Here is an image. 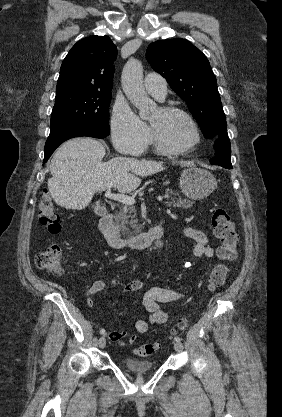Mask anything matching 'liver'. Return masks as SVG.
I'll use <instances>...</instances> for the list:
<instances>
[{
	"instance_id": "obj_1",
	"label": "liver",
	"mask_w": 282,
	"mask_h": 417,
	"mask_svg": "<svg viewBox=\"0 0 282 417\" xmlns=\"http://www.w3.org/2000/svg\"><path fill=\"white\" fill-rule=\"evenodd\" d=\"M105 154L102 142L90 136H77L59 146L50 162L52 178L47 182L56 204L82 211L91 202L94 192L106 188L131 192L141 184L139 176L155 174L165 168L163 162L126 156L102 162Z\"/></svg>"
}]
</instances>
